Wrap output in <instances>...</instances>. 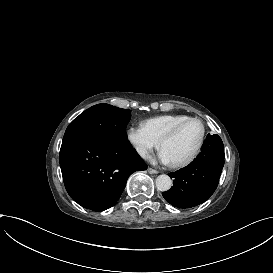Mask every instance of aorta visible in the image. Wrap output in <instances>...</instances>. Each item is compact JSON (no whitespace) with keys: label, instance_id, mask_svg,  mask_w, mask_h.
Segmentation results:
<instances>
[{"label":"aorta","instance_id":"obj_1","mask_svg":"<svg viewBox=\"0 0 273 273\" xmlns=\"http://www.w3.org/2000/svg\"><path fill=\"white\" fill-rule=\"evenodd\" d=\"M155 184L159 191L165 192L172 187V180L168 175L162 174L156 178Z\"/></svg>","mask_w":273,"mask_h":273}]
</instances>
